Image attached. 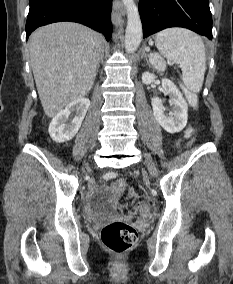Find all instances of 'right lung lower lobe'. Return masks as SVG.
I'll list each match as a JSON object with an SVG mask.
<instances>
[{"instance_id": "98d812e1", "label": "right lung lower lobe", "mask_w": 233, "mask_h": 284, "mask_svg": "<svg viewBox=\"0 0 233 284\" xmlns=\"http://www.w3.org/2000/svg\"><path fill=\"white\" fill-rule=\"evenodd\" d=\"M112 0H30L26 39L36 28L59 21H73L102 32L107 41L112 34Z\"/></svg>"}]
</instances>
